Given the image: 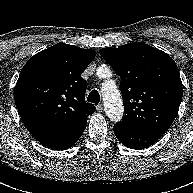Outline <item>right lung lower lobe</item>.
Listing matches in <instances>:
<instances>
[{
    "mask_svg": "<svg viewBox=\"0 0 193 193\" xmlns=\"http://www.w3.org/2000/svg\"><path fill=\"white\" fill-rule=\"evenodd\" d=\"M85 127H82L74 131L73 133L68 134L65 137L51 139V140L42 142L41 144L45 145L47 148H51L54 150L68 149L78 141V139L83 134Z\"/></svg>",
    "mask_w": 193,
    "mask_h": 193,
    "instance_id": "obj_1",
    "label": "right lung lower lobe"
}]
</instances>
